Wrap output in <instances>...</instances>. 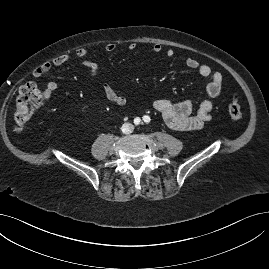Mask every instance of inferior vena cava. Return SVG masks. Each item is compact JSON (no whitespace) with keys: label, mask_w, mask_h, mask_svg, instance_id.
Segmentation results:
<instances>
[{"label":"inferior vena cava","mask_w":269,"mask_h":269,"mask_svg":"<svg viewBox=\"0 0 269 269\" xmlns=\"http://www.w3.org/2000/svg\"><path fill=\"white\" fill-rule=\"evenodd\" d=\"M134 129V126L130 123H125L122 125V132L124 134H129L132 132V130Z\"/></svg>","instance_id":"inferior-vena-cava-1"}]
</instances>
